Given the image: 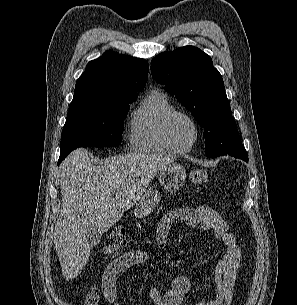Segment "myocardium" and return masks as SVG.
<instances>
[{"mask_svg": "<svg viewBox=\"0 0 297 305\" xmlns=\"http://www.w3.org/2000/svg\"><path fill=\"white\" fill-rule=\"evenodd\" d=\"M177 117L186 118L191 123L193 130H194L193 140L191 141V143L188 146H185V147L178 146L171 137L170 126H171L172 121ZM162 135H163L164 140L168 144V146L174 152L183 154V153L190 152L195 147V145L198 142L199 137H200V128H199L197 121L195 120V118L192 115H190L189 113L184 112V111L175 110V111H172L171 113H169L164 118L163 123H162Z\"/></svg>", "mask_w": 297, "mask_h": 305, "instance_id": "1", "label": "myocardium"}]
</instances>
